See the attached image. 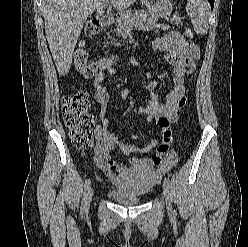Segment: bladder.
<instances>
[{
	"label": "bladder",
	"instance_id": "obj_1",
	"mask_svg": "<svg viewBox=\"0 0 248 247\" xmlns=\"http://www.w3.org/2000/svg\"><path fill=\"white\" fill-rule=\"evenodd\" d=\"M115 184L117 190L110 197L124 205H135L152 191L155 174L145 168H129L117 177Z\"/></svg>",
	"mask_w": 248,
	"mask_h": 247
}]
</instances>
